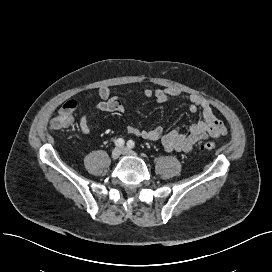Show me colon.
Here are the masks:
<instances>
[{"label":"colon","instance_id":"colon-1","mask_svg":"<svg viewBox=\"0 0 272 272\" xmlns=\"http://www.w3.org/2000/svg\"><path fill=\"white\" fill-rule=\"evenodd\" d=\"M70 112V107H62L52 119L50 129L52 131H59L69 128L73 121ZM214 147L215 145L212 142H203L199 145L201 150H212Z\"/></svg>","mask_w":272,"mask_h":272}]
</instances>
